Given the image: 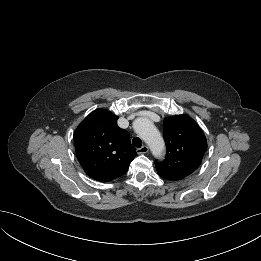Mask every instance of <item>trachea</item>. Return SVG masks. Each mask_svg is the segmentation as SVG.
I'll return each instance as SVG.
<instances>
[{
    "instance_id": "obj_1",
    "label": "trachea",
    "mask_w": 261,
    "mask_h": 261,
    "mask_svg": "<svg viewBox=\"0 0 261 261\" xmlns=\"http://www.w3.org/2000/svg\"><path fill=\"white\" fill-rule=\"evenodd\" d=\"M132 144H133L134 147L141 148L142 141H141L140 138L134 137L133 140H132Z\"/></svg>"
}]
</instances>
